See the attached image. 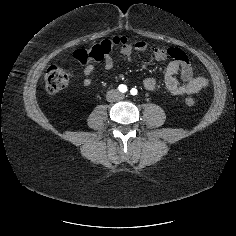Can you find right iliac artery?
<instances>
[{
	"label": "right iliac artery",
	"instance_id": "right-iliac-artery-1",
	"mask_svg": "<svg viewBox=\"0 0 236 236\" xmlns=\"http://www.w3.org/2000/svg\"><path fill=\"white\" fill-rule=\"evenodd\" d=\"M118 90L122 93H125L128 89L127 86L124 84L119 85Z\"/></svg>",
	"mask_w": 236,
	"mask_h": 236
}]
</instances>
